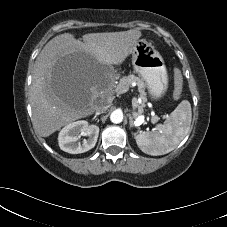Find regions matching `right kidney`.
Masks as SVG:
<instances>
[{
	"instance_id": "1",
	"label": "right kidney",
	"mask_w": 227,
	"mask_h": 227,
	"mask_svg": "<svg viewBox=\"0 0 227 227\" xmlns=\"http://www.w3.org/2000/svg\"><path fill=\"white\" fill-rule=\"evenodd\" d=\"M81 135L88 136L81 144L77 142ZM99 127L89 125L87 121L81 120L66 125L59 133L58 142L61 150L79 154L92 149L98 139Z\"/></svg>"
}]
</instances>
